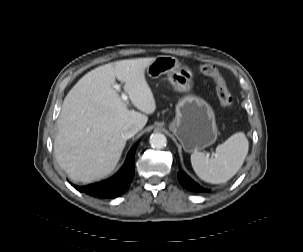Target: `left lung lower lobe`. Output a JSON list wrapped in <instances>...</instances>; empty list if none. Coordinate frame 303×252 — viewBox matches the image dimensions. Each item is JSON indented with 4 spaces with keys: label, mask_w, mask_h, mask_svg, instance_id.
I'll return each instance as SVG.
<instances>
[{
    "label": "left lung lower lobe",
    "mask_w": 303,
    "mask_h": 252,
    "mask_svg": "<svg viewBox=\"0 0 303 252\" xmlns=\"http://www.w3.org/2000/svg\"><path fill=\"white\" fill-rule=\"evenodd\" d=\"M178 179L180 183L187 188L188 190L195 192H208L207 189L199 186L196 182H194L189 176H187L184 172L180 171L178 173Z\"/></svg>",
    "instance_id": "0a47b994"
}]
</instances>
